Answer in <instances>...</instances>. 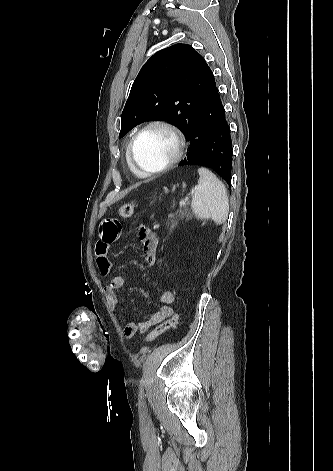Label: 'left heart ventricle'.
<instances>
[{"label": "left heart ventricle", "mask_w": 333, "mask_h": 471, "mask_svg": "<svg viewBox=\"0 0 333 471\" xmlns=\"http://www.w3.org/2000/svg\"><path fill=\"white\" fill-rule=\"evenodd\" d=\"M176 150L175 140L170 132L160 127H153L138 139L134 156L144 169L153 170L167 163Z\"/></svg>", "instance_id": "b2bd125f"}]
</instances>
